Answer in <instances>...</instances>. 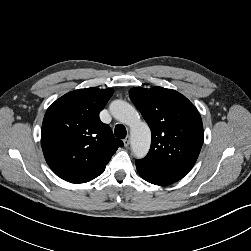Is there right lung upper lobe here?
Instances as JSON below:
<instances>
[{"label": "right lung upper lobe", "mask_w": 251, "mask_h": 251, "mask_svg": "<svg viewBox=\"0 0 251 251\" xmlns=\"http://www.w3.org/2000/svg\"><path fill=\"white\" fill-rule=\"evenodd\" d=\"M112 94V89H78L63 95L48 108L41 145L47 164L60 178L71 183L93 180L123 146L99 119Z\"/></svg>", "instance_id": "1"}]
</instances>
